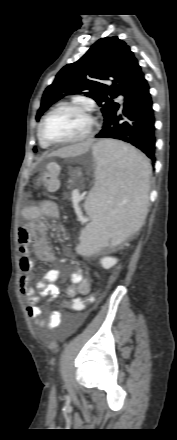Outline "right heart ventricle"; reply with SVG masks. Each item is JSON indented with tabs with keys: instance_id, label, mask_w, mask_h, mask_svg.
Returning a JSON list of instances; mask_svg holds the SVG:
<instances>
[{
	"instance_id": "1",
	"label": "right heart ventricle",
	"mask_w": 177,
	"mask_h": 440,
	"mask_svg": "<svg viewBox=\"0 0 177 440\" xmlns=\"http://www.w3.org/2000/svg\"><path fill=\"white\" fill-rule=\"evenodd\" d=\"M58 105H59V104H58ZM58 105H57V106H58ZM39 140H40V144H41L42 147L46 148V147L49 146L48 144H46L45 142H43L40 138H39Z\"/></svg>"
}]
</instances>
